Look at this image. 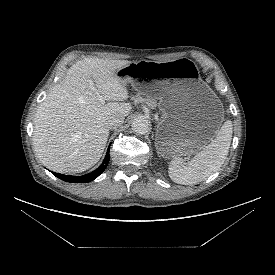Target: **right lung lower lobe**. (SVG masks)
<instances>
[{
    "label": "right lung lower lobe",
    "instance_id": "1",
    "mask_svg": "<svg viewBox=\"0 0 275 275\" xmlns=\"http://www.w3.org/2000/svg\"><path fill=\"white\" fill-rule=\"evenodd\" d=\"M109 148H110V146H109ZM109 148L107 150L105 159H104L103 163L101 164V166L89 174H86L83 176L63 175V174H58V173H54V172H53V174L55 176H57L59 179L64 180L66 182H73V183L90 182V181L94 180L95 178H97L106 169L108 162H109Z\"/></svg>",
    "mask_w": 275,
    "mask_h": 275
}]
</instances>
